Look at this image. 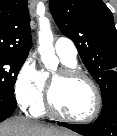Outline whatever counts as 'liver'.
Listing matches in <instances>:
<instances>
[{"instance_id": "6515ba94", "label": "liver", "mask_w": 117, "mask_h": 136, "mask_svg": "<svg viewBox=\"0 0 117 136\" xmlns=\"http://www.w3.org/2000/svg\"><path fill=\"white\" fill-rule=\"evenodd\" d=\"M0 136H74V134L16 117L0 123Z\"/></svg>"}]
</instances>
